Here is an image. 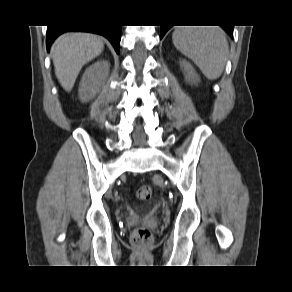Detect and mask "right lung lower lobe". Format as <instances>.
I'll return each instance as SVG.
<instances>
[{"label": "right lung lower lobe", "instance_id": "1", "mask_svg": "<svg viewBox=\"0 0 292 292\" xmlns=\"http://www.w3.org/2000/svg\"><path fill=\"white\" fill-rule=\"evenodd\" d=\"M66 31H86L105 36L115 48L117 54L120 52L121 26L110 25H79V26H48L46 45L49 50L55 38Z\"/></svg>", "mask_w": 292, "mask_h": 292}]
</instances>
